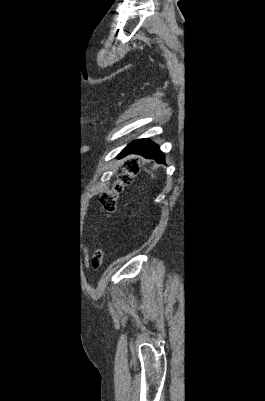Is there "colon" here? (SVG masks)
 <instances>
[{"label":"colon","instance_id":"1","mask_svg":"<svg viewBox=\"0 0 265 401\" xmlns=\"http://www.w3.org/2000/svg\"><path fill=\"white\" fill-rule=\"evenodd\" d=\"M138 173V164L135 161H129L125 164L123 172L118 176L113 186L101 195L100 203L106 214L111 215L117 208L118 196L123 189L131 184L133 178ZM103 260V251L97 249L92 258V267L94 270L100 269Z\"/></svg>","mask_w":265,"mask_h":401}]
</instances>
